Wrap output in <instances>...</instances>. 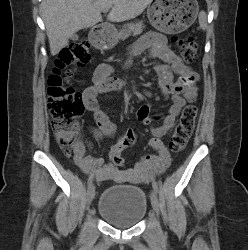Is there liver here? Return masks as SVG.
Listing matches in <instances>:
<instances>
[{
    "mask_svg": "<svg viewBox=\"0 0 248 250\" xmlns=\"http://www.w3.org/2000/svg\"><path fill=\"white\" fill-rule=\"evenodd\" d=\"M153 0H43L42 18L52 56L66 47L77 31L102 22L101 11L112 7L111 22L139 16Z\"/></svg>",
    "mask_w": 248,
    "mask_h": 250,
    "instance_id": "obj_1",
    "label": "liver"
}]
</instances>
